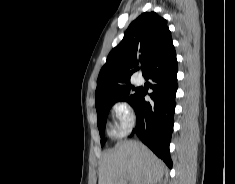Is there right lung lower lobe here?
Instances as JSON below:
<instances>
[{
    "instance_id": "right-lung-lower-lobe-1",
    "label": "right lung lower lobe",
    "mask_w": 235,
    "mask_h": 184,
    "mask_svg": "<svg viewBox=\"0 0 235 184\" xmlns=\"http://www.w3.org/2000/svg\"><path fill=\"white\" fill-rule=\"evenodd\" d=\"M177 71L178 64L174 52L144 76L153 82L150 86L153 91L149 94L153 101L146 102L144 92L140 91L131 104L136 114L135 132L137 136L169 168L172 167L169 144L174 123Z\"/></svg>"
}]
</instances>
